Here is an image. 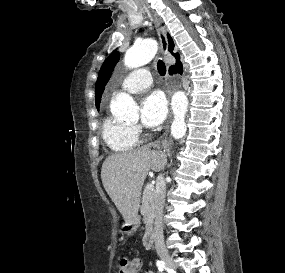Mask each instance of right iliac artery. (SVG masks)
<instances>
[{"label": "right iliac artery", "instance_id": "right-iliac-artery-1", "mask_svg": "<svg viewBox=\"0 0 285 273\" xmlns=\"http://www.w3.org/2000/svg\"><path fill=\"white\" fill-rule=\"evenodd\" d=\"M156 265H157L159 271H163L165 269V263L163 261H161V260H158L156 262Z\"/></svg>", "mask_w": 285, "mask_h": 273}]
</instances>
